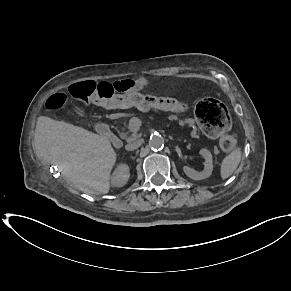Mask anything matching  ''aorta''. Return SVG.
Returning a JSON list of instances; mask_svg holds the SVG:
<instances>
[{"label":"aorta","instance_id":"762f6f07","mask_svg":"<svg viewBox=\"0 0 291 291\" xmlns=\"http://www.w3.org/2000/svg\"><path fill=\"white\" fill-rule=\"evenodd\" d=\"M149 146L152 150H161L164 147V138L160 135H154L149 140Z\"/></svg>","mask_w":291,"mask_h":291}]
</instances>
